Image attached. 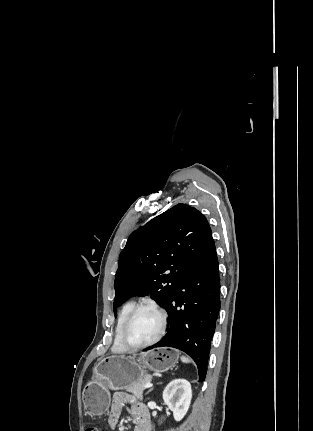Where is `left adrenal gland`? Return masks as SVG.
I'll return each instance as SVG.
<instances>
[{"label": "left adrenal gland", "instance_id": "a2214340", "mask_svg": "<svg viewBox=\"0 0 313 431\" xmlns=\"http://www.w3.org/2000/svg\"><path fill=\"white\" fill-rule=\"evenodd\" d=\"M152 391V388H150L148 391H147V393L146 394H148L149 392H151Z\"/></svg>", "mask_w": 313, "mask_h": 431}]
</instances>
